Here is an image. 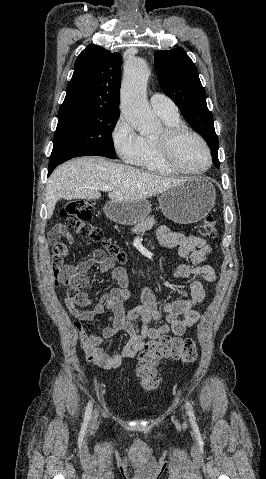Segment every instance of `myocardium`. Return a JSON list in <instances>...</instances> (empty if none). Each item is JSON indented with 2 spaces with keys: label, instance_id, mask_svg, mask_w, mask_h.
Segmentation results:
<instances>
[{
  "label": "myocardium",
  "instance_id": "1",
  "mask_svg": "<svg viewBox=\"0 0 266 479\" xmlns=\"http://www.w3.org/2000/svg\"><path fill=\"white\" fill-rule=\"evenodd\" d=\"M184 135H191L195 137L204 147L207 155V164L201 170L196 171H189L181 167L174 155V146L176 141L184 136ZM156 142L159 149V154L162 161L165 163L167 167H169L172 171L179 174L184 175H202L206 173L211 165H212V152L207 143V141L201 136L198 132L184 126H166L162 132L156 137Z\"/></svg>",
  "mask_w": 266,
  "mask_h": 479
}]
</instances>
